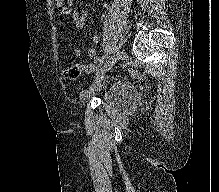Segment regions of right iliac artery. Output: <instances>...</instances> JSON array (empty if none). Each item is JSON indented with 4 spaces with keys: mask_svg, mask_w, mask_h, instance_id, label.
<instances>
[{
    "mask_svg": "<svg viewBox=\"0 0 219 192\" xmlns=\"http://www.w3.org/2000/svg\"><path fill=\"white\" fill-rule=\"evenodd\" d=\"M107 58H108V55H105V56L101 57L100 60H99V65H102L103 62H104Z\"/></svg>",
    "mask_w": 219,
    "mask_h": 192,
    "instance_id": "82829eb1",
    "label": "right iliac artery"
}]
</instances>
